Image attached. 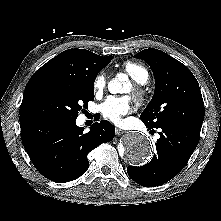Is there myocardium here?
<instances>
[{
    "label": "myocardium",
    "mask_w": 221,
    "mask_h": 221,
    "mask_svg": "<svg viewBox=\"0 0 221 221\" xmlns=\"http://www.w3.org/2000/svg\"><path fill=\"white\" fill-rule=\"evenodd\" d=\"M131 95H132V98L136 102L140 103V102H142L144 100L145 92H144V90L140 86L135 84L132 87Z\"/></svg>",
    "instance_id": "f54148a6"
}]
</instances>
